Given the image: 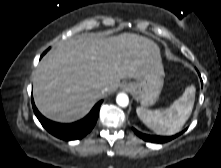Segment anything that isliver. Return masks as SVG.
Instances as JSON below:
<instances>
[{"label":"liver","mask_w":221,"mask_h":168,"mask_svg":"<svg viewBox=\"0 0 221 168\" xmlns=\"http://www.w3.org/2000/svg\"><path fill=\"white\" fill-rule=\"evenodd\" d=\"M162 68L152 40L123 33L109 38L88 34L59 43L41 60L34 75V100L47 118L69 123L83 118L121 79H141Z\"/></svg>","instance_id":"6515ba94"}]
</instances>
